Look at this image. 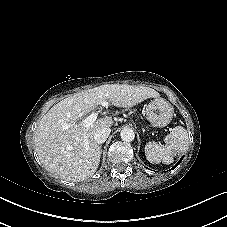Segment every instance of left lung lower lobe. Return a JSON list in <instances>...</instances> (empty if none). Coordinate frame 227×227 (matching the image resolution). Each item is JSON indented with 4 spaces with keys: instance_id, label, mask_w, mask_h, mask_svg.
<instances>
[{
    "instance_id": "obj_1",
    "label": "left lung lower lobe",
    "mask_w": 227,
    "mask_h": 227,
    "mask_svg": "<svg viewBox=\"0 0 227 227\" xmlns=\"http://www.w3.org/2000/svg\"><path fill=\"white\" fill-rule=\"evenodd\" d=\"M181 161H182V158L180 159V161L173 168H175Z\"/></svg>"
}]
</instances>
